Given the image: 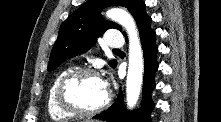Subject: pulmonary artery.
Returning a JSON list of instances; mask_svg holds the SVG:
<instances>
[{"mask_svg": "<svg viewBox=\"0 0 221 122\" xmlns=\"http://www.w3.org/2000/svg\"><path fill=\"white\" fill-rule=\"evenodd\" d=\"M106 43L109 47L113 49H119L124 45V39L122 35L118 32H112L106 38Z\"/></svg>", "mask_w": 221, "mask_h": 122, "instance_id": "obj_1", "label": "pulmonary artery"}]
</instances>
